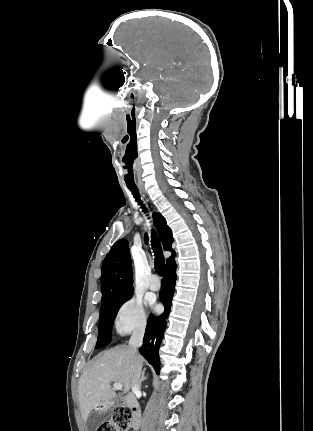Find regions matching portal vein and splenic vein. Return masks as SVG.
Here are the masks:
<instances>
[{"label": "portal vein and splenic vein", "instance_id": "1", "mask_svg": "<svg viewBox=\"0 0 313 431\" xmlns=\"http://www.w3.org/2000/svg\"><path fill=\"white\" fill-rule=\"evenodd\" d=\"M122 384L121 383H119V382H115L114 384H113V388L115 389V390H122Z\"/></svg>", "mask_w": 313, "mask_h": 431}]
</instances>
